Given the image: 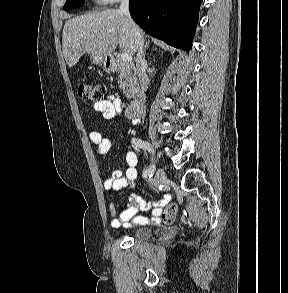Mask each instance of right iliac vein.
Segmentation results:
<instances>
[{"mask_svg":"<svg viewBox=\"0 0 288 293\" xmlns=\"http://www.w3.org/2000/svg\"><path fill=\"white\" fill-rule=\"evenodd\" d=\"M154 166V165H153ZM166 181V174L162 168H158L153 179L154 188H158Z\"/></svg>","mask_w":288,"mask_h":293,"instance_id":"obj_1","label":"right iliac vein"}]
</instances>
